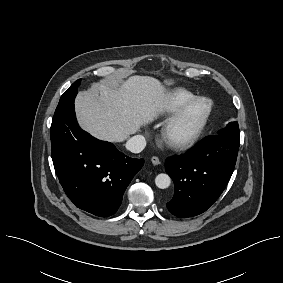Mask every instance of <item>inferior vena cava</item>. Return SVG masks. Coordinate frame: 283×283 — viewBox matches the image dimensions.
Listing matches in <instances>:
<instances>
[{
    "label": "inferior vena cava",
    "instance_id": "1",
    "mask_svg": "<svg viewBox=\"0 0 283 283\" xmlns=\"http://www.w3.org/2000/svg\"><path fill=\"white\" fill-rule=\"evenodd\" d=\"M146 146V139L143 135H135L131 137L127 143L126 148L133 153H140Z\"/></svg>",
    "mask_w": 283,
    "mask_h": 283
}]
</instances>
